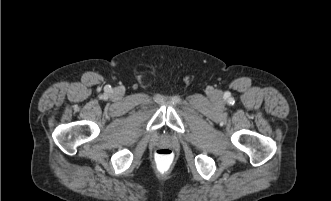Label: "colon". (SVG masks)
<instances>
[{"instance_id": "colon-1", "label": "colon", "mask_w": 331, "mask_h": 201, "mask_svg": "<svg viewBox=\"0 0 331 201\" xmlns=\"http://www.w3.org/2000/svg\"><path fill=\"white\" fill-rule=\"evenodd\" d=\"M153 161L156 170L161 173H169L173 170L176 157L174 151L169 147H160L155 150Z\"/></svg>"}]
</instances>
